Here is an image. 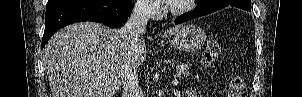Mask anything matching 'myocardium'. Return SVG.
Listing matches in <instances>:
<instances>
[{
	"instance_id": "f54148a6",
	"label": "myocardium",
	"mask_w": 302,
	"mask_h": 97,
	"mask_svg": "<svg viewBox=\"0 0 302 97\" xmlns=\"http://www.w3.org/2000/svg\"><path fill=\"white\" fill-rule=\"evenodd\" d=\"M195 3V0H183V3L181 4H167L165 6V10L174 16H180L187 12H189L193 5Z\"/></svg>"
}]
</instances>
